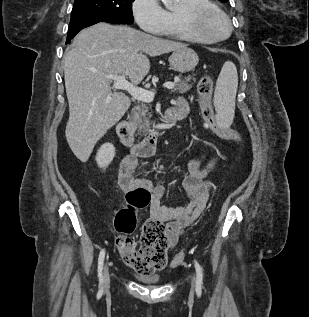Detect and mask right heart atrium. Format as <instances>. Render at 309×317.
I'll use <instances>...</instances> for the list:
<instances>
[{
	"instance_id": "right-heart-atrium-1",
	"label": "right heart atrium",
	"mask_w": 309,
	"mask_h": 317,
	"mask_svg": "<svg viewBox=\"0 0 309 317\" xmlns=\"http://www.w3.org/2000/svg\"><path fill=\"white\" fill-rule=\"evenodd\" d=\"M132 13L138 26L147 33L159 34L166 28L165 10L158 0H133Z\"/></svg>"
}]
</instances>
